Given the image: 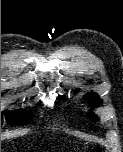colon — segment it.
Segmentation results:
<instances>
[{"label":"colon","mask_w":123,"mask_h":152,"mask_svg":"<svg viewBox=\"0 0 123 152\" xmlns=\"http://www.w3.org/2000/svg\"><path fill=\"white\" fill-rule=\"evenodd\" d=\"M89 152H104L100 147H94Z\"/></svg>","instance_id":"1"}]
</instances>
